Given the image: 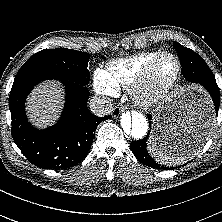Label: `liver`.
I'll list each match as a JSON object with an SVG mask.
<instances>
[{
	"instance_id": "1",
	"label": "liver",
	"mask_w": 222,
	"mask_h": 222,
	"mask_svg": "<svg viewBox=\"0 0 222 222\" xmlns=\"http://www.w3.org/2000/svg\"><path fill=\"white\" fill-rule=\"evenodd\" d=\"M63 98V89L56 82L37 86L27 101L29 118L36 126L50 125L58 117Z\"/></svg>"
}]
</instances>
